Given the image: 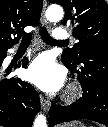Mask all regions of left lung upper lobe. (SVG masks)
<instances>
[{
  "label": "left lung upper lobe",
  "instance_id": "left-lung-upper-lobe-1",
  "mask_svg": "<svg viewBox=\"0 0 108 127\" xmlns=\"http://www.w3.org/2000/svg\"><path fill=\"white\" fill-rule=\"evenodd\" d=\"M64 7L63 25L73 26L78 42L64 50L62 62L77 67L85 58L108 53V4L105 0H49Z\"/></svg>",
  "mask_w": 108,
  "mask_h": 127
}]
</instances>
